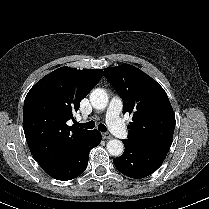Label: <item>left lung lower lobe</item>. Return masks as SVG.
<instances>
[{
	"label": "left lung lower lobe",
	"mask_w": 209,
	"mask_h": 209,
	"mask_svg": "<svg viewBox=\"0 0 209 209\" xmlns=\"http://www.w3.org/2000/svg\"><path fill=\"white\" fill-rule=\"evenodd\" d=\"M125 152L113 159L116 168L126 176L139 179L155 172L163 163L167 153L143 148L129 140H123Z\"/></svg>",
	"instance_id": "obj_1"
}]
</instances>
